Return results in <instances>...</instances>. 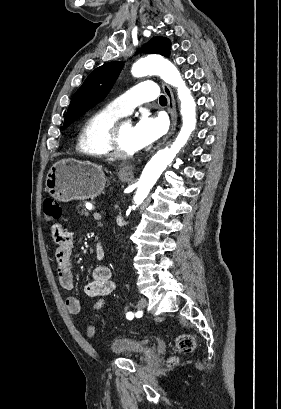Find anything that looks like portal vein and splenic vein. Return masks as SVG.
<instances>
[{
    "label": "portal vein and splenic vein",
    "instance_id": "18ae733b",
    "mask_svg": "<svg viewBox=\"0 0 281 409\" xmlns=\"http://www.w3.org/2000/svg\"><path fill=\"white\" fill-rule=\"evenodd\" d=\"M93 215H94L95 219H98V216L100 215V212L98 210H95L93 212ZM98 221H99V219H98Z\"/></svg>",
    "mask_w": 281,
    "mask_h": 409
}]
</instances>
